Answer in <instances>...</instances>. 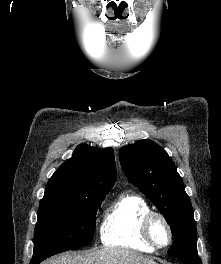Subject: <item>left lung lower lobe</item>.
I'll use <instances>...</instances> for the list:
<instances>
[{
  "mask_svg": "<svg viewBox=\"0 0 221 264\" xmlns=\"http://www.w3.org/2000/svg\"><path fill=\"white\" fill-rule=\"evenodd\" d=\"M184 264H202L198 256L178 257Z\"/></svg>",
  "mask_w": 221,
  "mask_h": 264,
  "instance_id": "obj_1",
  "label": "left lung lower lobe"
}]
</instances>
